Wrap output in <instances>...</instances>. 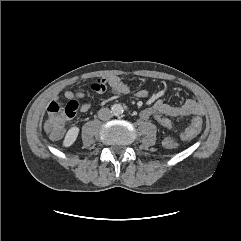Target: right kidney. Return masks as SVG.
<instances>
[{
	"label": "right kidney",
	"instance_id": "ca27d5eb",
	"mask_svg": "<svg viewBox=\"0 0 241 241\" xmlns=\"http://www.w3.org/2000/svg\"><path fill=\"white\" fill-rule=\"evenodd\" d=\"M78 134H79V128L76 126L71 127L65 135L63 145L65 147H69V146L73 145L78 137Z\"/></svg>",
	"mask_w": 241,
	"mask_h": 241
}]
</instances>
